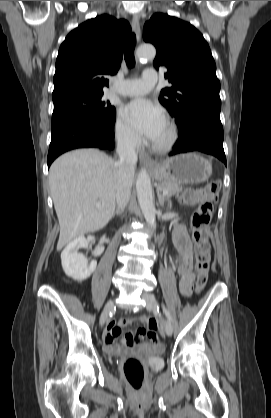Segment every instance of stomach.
Instances as JSON below:
<instances>
[{
	"label": "stomach",
	"instance_id": "0dacf381",
	"mask_svg": "<svg viewBox=\"0 0 271 418\" xmlns=\"http://www.w3.org/2000/svg\"><path fill=\"white\" fill-rule=\"evenodd\" d=\"M152 173L155 179L161 183L197 184L210 178L212 164L199 154L187 153L174 156L157 164Z\"/></svg>",
	"mask_w": 271,
	"mask_h": 418
}]
</instances>
